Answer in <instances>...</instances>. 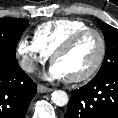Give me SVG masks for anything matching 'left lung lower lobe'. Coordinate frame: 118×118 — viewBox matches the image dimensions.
I'll use <instances>...</instances> for the list:
<instances>
[{"label":"left lung lower lobe","mask_w":118,"mask_h":118,"mask_svg":"<svg viewBox=\"0 0 118 118\" xmlns=\"http://www.w3.org/2000/svg\"><path fill=\"white\" fill-rule=\"evenodd\" d=\"M65 118H118V71L72 91Z\"/></svg>","instance_id":"1"}]
</instances>
